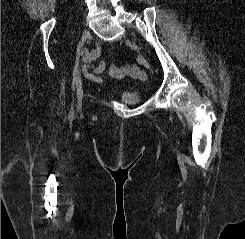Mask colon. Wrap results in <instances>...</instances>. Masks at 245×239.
Returning <instances> with one entry per match:
<instances>
[{"mask_svg":"<svg viewBox=\"0 0 245 239\" xmlns=\"http://www.w3.org/2000/svg\"><path fill=\"white\" fill-rule=\"evenodd\" d=\"M109 73L113 77H123L125 75H129L130 77L141 81H146L147 79V75L144 71H142L136 66H131V65L118 66L112 64L109 66Z\"/></svg>","mask_w":245,"mask_h":239,"instance_id":"obj_1","label":"colon"}]
</instances>
